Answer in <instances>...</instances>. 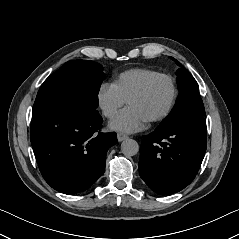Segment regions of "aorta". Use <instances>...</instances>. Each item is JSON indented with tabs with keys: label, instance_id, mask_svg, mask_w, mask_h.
<instances>
[{
	"label": "aorta",
	"instance_id": "aorta-1",
	"mask_svg": "<svg viewBox=\"0 0 239 239\" xmlns=\"http://www.w3.org/2000/svg\"><path fill=\"white\" fill-rule=\"evenodd\" d=\"M121 152L127 156L131 157L139 152V145L137 141L133 139H126L121 143Z\"/></svg>",
	"mask_w": 239,
	"mask_h": 239
}]
</instances>
